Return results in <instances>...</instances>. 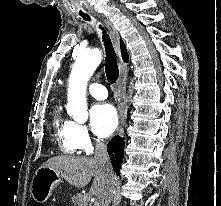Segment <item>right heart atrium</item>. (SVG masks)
I'll return each mask as SVG.
<instances>
[{"label": "right heart atrium", "mask_w": 221, "mask_h": 206, "mask_svg": "<svg viewBox=\"0 0 221 206\" xmlns=\"http://www.w3.org/2000/svg\"><path fill=\"white\" fill-rule=\"evenodd\" d=\"M75 139L77 147L89 153L98 139L94 137L89 129L83 125L76 123L75 125Z\"/></svg>", "instance_id": "d8ad5b80"}]
</instances>
